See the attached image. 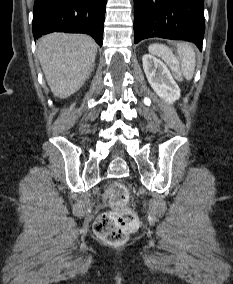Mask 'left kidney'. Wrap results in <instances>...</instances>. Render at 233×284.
I'll return each mask as SVG.
<instances>
[{
    "mask_svg": "<svg viewBox=\"0 0 233 284\" xmlns=\"http://www.w3.org/2000/svg\"><path fill=\"white\" fill-rule=\"evenodd\" d=\"M142 62L148 82L155 93L170 104L178 100L180 89L167 66L151 54H145Z\"/></svg>",
    "mask_w": 233,
    "mask_h": 284,
    "instance_id": "5707ae66",
    "label": "left kidney"
}]
</instances>
